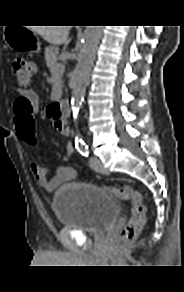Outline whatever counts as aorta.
<instances>
[{"label": "aorta", "mask_w": 184, "mask_h": 292, "mask_svg": "<svg viewBox=\"0 0 184 292\" xmlns=\"http://www.w3.org/2000/svg\"><path fill=\"white\" fill-rule=\"evenodd\" d=\"M103 26H86L72 84V110L76 118L81 108Z\"/></svg>", "instance_id": "762f6f07"}]
</instances>
